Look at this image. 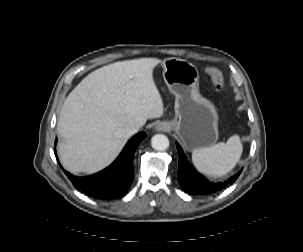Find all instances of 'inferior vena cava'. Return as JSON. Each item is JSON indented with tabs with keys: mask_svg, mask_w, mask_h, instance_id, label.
Listing matches in <instances>:
<instances>
[{
	"mask_svg": "<svg viewBox=\"0 0 303 252\" xmlns=\"http://www.w3.org/2000/svg\"><path fill=\"white\" fill-rule=\"evenodd\" d=\"M140 128V125L137 122H131L124 126L123 134L125 137H130L135 134Z\"/></svg>",
	"mask_w": 303,
	"mask_h": 252,
	"instance_id": "inferior-vena-cava-1",
	"label": "inferior vena cava"
}]
</instances>
